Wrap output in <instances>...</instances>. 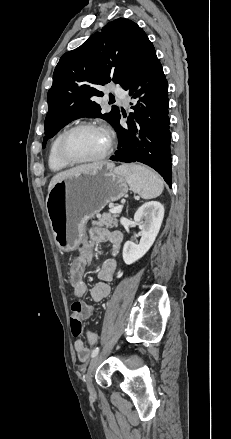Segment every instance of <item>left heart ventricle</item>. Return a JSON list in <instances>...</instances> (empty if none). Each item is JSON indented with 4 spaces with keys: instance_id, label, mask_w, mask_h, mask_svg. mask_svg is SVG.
<instances>
[{
    "instance_id": "b2bd125f",
    "label": "left heart ventricle",
    "mask_w": 231,
    "mask_h": 439,
    "mask_svg": "<svg viewBox=\"0 0 231 439\" xmlns=\"http://www.w3.org/2000/svg\"><path fill=\"white\" fill-rule=\"evenodd\" d=\"M107 135L98 129H82L67 140L68 153L76 159H88L100 155L106 148Z\"/></svg>"
}]
</instances>
